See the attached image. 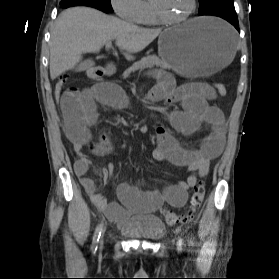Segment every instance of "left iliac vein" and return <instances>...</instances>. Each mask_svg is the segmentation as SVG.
Here are the masks:
<instances>
[{"label": "left iliac vein", "instance_id": "1", "mask_svg": "<svg viewBox=\"0 0 279 279\" xmlns=\"http://www.w3.org/2000/svg\"><path fill=\"white\" fill-rule=\"evenodd\" d=\"M178 250H181V242L178 243Z\"/></svg>", "mask_w": 279, "mask_h": 279}]
</instances>
